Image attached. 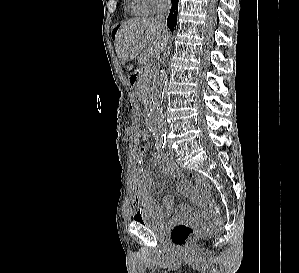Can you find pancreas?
<instances>
[{"instance_id":"obj_1","label":"pancreas","mask_w":299,"mask_h":273,"mask_svg":"<svg viewBox=\"0 0 299 273\" xmlns=\"http://www.w3.org/2000/svg\"><path fill=\"white\" fill-rule=\"evenodd\" d=\"M144 69L146 74L142 76L137 83V92L139 94H145L148 91L149 87L148 77L150 76V69L147 65H144Z\"/></svg>"}]
</instances>
